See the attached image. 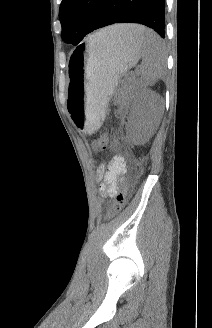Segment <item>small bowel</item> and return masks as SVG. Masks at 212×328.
<instances>
[{"label":"small bowel","instance_id":"c3829d8e","mask_svg":"<svg viewBox=\"0 0 212 328\" xmlns=\"http://www.w3.org/2000/svg\"><path fill=\"white\" fill-rule=\"evenodd\" d=\"M127 170V161L123 155L114 156L107 164L97 170V178L101 180L100 192L105 198H113L123 183Z\"/></svg>","mask_w":212,"mask_h":328}]
</instances>
